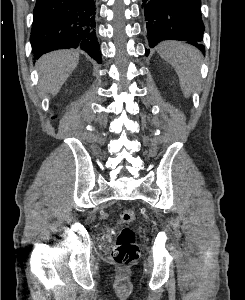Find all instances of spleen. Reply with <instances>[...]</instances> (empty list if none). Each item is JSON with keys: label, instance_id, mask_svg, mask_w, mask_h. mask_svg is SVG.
I'll list each match as a JSON object with an SVG mask.
<instances>
[{"label": "spleen", "instance_id": "3e777b00", "mask_svg": "<svg viewBox=\"0 0 245 300\" xmlns=\"http://www.w3.org/2000/svg\"><path fill=\"white\" fill-rule=\"evenodd\" d=\"M158 53L175 68L183 94L189 97L199 79V51L184 43L167 41L158 47Z\"/></svg>", "mask_w": 245, "mask_h": 300}]
</instances>
